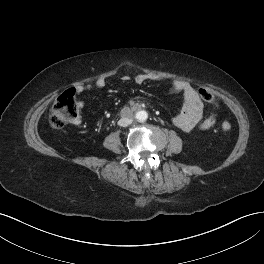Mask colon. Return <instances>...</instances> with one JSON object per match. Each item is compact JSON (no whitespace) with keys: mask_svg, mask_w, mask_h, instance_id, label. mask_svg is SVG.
Returning <instances> with one entry per match:
<instances>
[{"mask_svg":"<svg viewBox=\"0 0 264 264\" xmlns=\"http://www.w3.org/2000/svg\"><path fill=\"white\" fill-rule=\"evenodd\" d=\"M198 94L200 97L210 104H216L215 96L206 88H199ZM79 117L75 92L71 89L62 93L56 100L52 114L50 116V124L53 128L60 129L66 124L75 122ZM216 122L214 115L206 117L200 124V128L208 129ZM222 130L230 131L232 124L229 121H224L221 125Z\"/></svg>","mask_w":264,"mask_h":264,"instance_id":"colon-1","label":"colon"}]
</instances>
